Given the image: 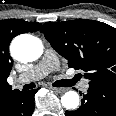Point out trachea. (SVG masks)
<instances>
[{
    "label": "trachea",
    "instance_id": "1",
    "mask_svg": "<svg viewBox=\"0 0 116 116\" xmlns=\"http://www.w3.org/2000/svg\"><path fill=\"white\" fill-rule=\"evenodd\" d=\"M75 83H76V79L73 78V79H69V80H63V79L58 80V81L54 82L52 85L54 87H71V86L75 85ZM34 87H35V84L30 83V84L25 85L24 88H25V90H27V89H32Z\"/></svg>",
    "mask_w": 116,
    "mask_h": 116
}]
</instances>
